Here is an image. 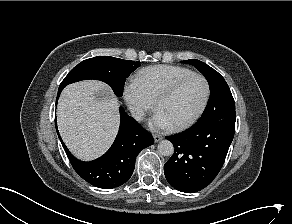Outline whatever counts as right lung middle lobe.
I'll use <instances>...</instances> for the list:
<instances>
[{"mask_svg":"<svg viewBox=\"0 0 292 224\" xmlns=\"http://www.w3.org/2000/svg\"><path fill=\"white\" fill-rule=\"evenodd\" d=\"M140 66L139 61H126L109 56H97L82 61L64 78L60 87L86 79L107 83L117 97L123 94L126 78Z\"/></svg>","mask_w":292,"mask_h":224,"instance_id":"dd1d6c3e","label":"right lung middle lobe"}]
</instances>
